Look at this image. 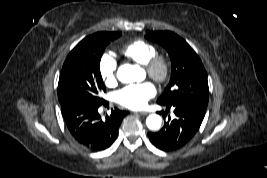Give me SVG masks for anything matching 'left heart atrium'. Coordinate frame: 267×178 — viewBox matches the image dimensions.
<instances>
[{
	"instance_id": "39dd6f15",
	"label": "left heart atrium",
	"mask_w": 267,
	"mask_h": 178,
	"mask_svg": "<svg viewBox=\"0 0 267 178\" xmlns=\"http://www.w3.org/2000/svg\"><path fill=\"white\" fill-rule=\"evenodd\" d=\"M156 94L151 82H142L123 87L115 93V101L126 108L137 110L143 108Z\"/></svg>"
}]
</instances>
